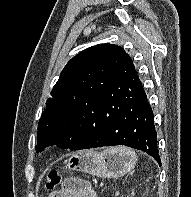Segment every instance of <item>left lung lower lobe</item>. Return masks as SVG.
Wrapping results in <instances>:
<instances>
[{"label":"left lung lower lobe","instance_id":"1","mask_svg":"<svg viewBox=\"0 0 191 197\" xmlns=\"http://www.w3.org/2000/svg\"><path fill=\"white\" fill-rule=\"evenodd\" d=\"M64 137L65 149L125 145L146 152L161 165L153 112L137 74L101 94L91 112L77 114Z\"/></svg>","mask_w":191,"mask_h":197}]
</instances>
